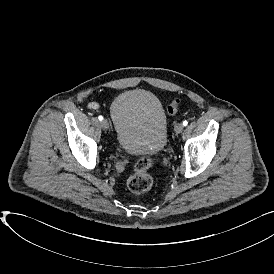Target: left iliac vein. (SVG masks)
I'll return each mask as SVG.
<instances>
[{
    "mask_svg": "<svg viewBox=\"0 0 274 274\" xmlns=\"http://www.w3.org/2000/svg\"><path fill=\"white\" fill-rule=\"evenodd\" d=\"M184 129V126L182 123H177L174 127V130L177 134H180Z\"/></svg>",
    "mask_w": 274,
    "mask_h": 274,
    "instance_id": "4c4485c4",
    "label": "left iliac vein"
}]
</instances>
